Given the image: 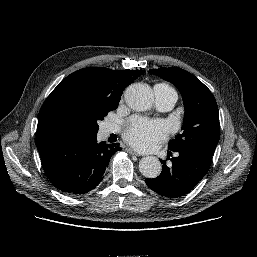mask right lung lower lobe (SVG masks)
Returning a JSON list of instances; mask_svg holds the SVG:
<instances>
[{
  "label": "right lung lower lobe",
  "instance_id": "right-lung-lower-lobe-1",
  "mask_svg": "<svg viewBox=\"0 0 257 257\" xmlns=\"http://www.w3.org/2000/svg\"><path fill=\"white\" fill-rule=\"evenodd\" d=\"M120 147L98 142L97 135L73 136L51 142L38 151L51 183L69 194H84L102 180L111 156Z\"/></svg>",
  "mask_w": 257,
  "mask_h": 257
}]
</instances>
